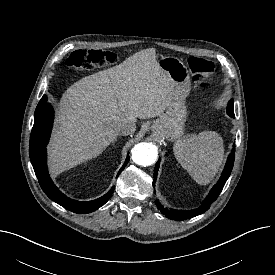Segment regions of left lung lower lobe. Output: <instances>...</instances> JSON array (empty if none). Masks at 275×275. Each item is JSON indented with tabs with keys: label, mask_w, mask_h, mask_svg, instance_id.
Wrapping results in <instances>:
<instances>
[{
	"label": "left lung lower lobe",
	"mask_w": 275,
	"mask_h": 275,
	"mask_svg": "<svg viewBox=\"0 0 275 275\" xmlns=\"http://www.w3.org/2000/svg\"><path fill=\"white\" fill-rule=\"evenodd\" d=\"M234 159H235V145L233 146V149L227 159V162H226L225 168L222 172L220 180L211 189L210 193L208 194L206 199L202 202V205L199 208L194 209V210H175V209L167 210L160 204L159 201H156V205L159 208V210L161 211V213L165 214V216L167 218L172 219V220H185V219L200 215V214L204 213L205 211H207L209 209L211 203H213L217 199V197L219 196L220 192L222 191L227 179L229 178L232 168H233ZM159 165H160V159L158 160V162L155 165L153 186H155V182H156L157 174H158V170H159Z\"/></svg>",
	"instance_id": "1"
}]
</instances>
